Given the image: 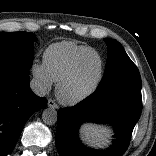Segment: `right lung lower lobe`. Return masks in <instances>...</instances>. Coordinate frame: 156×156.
<instances>
[{
    "label": "right lung lower lobe",
    "mask_w": 156,
    "mask_h": 156,
    "mask_svg": "<svg viewBox=\"0 0 156 156\" xmlns=\"http://www.w3.org/2000/svg\"><path fill=\"white\" fill-rule=\"evenodd\" d=\"M46 104L31 91L29 70L0 64V156L8 155L28 118Z\"/></svg>",
    "instance_id": "1"
}]
</instances>
